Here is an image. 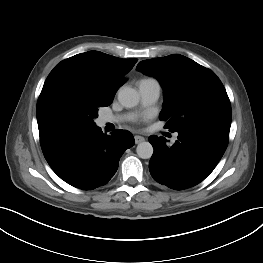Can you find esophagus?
<instances>
[{
    "label": "esophagus",
    "mask_w": 263,
    "mask_h": 263,
    "mask_svg": "<svg viewBox=\"0 0 263 263\" xmlns=\"http://www.w3.org/2000/svg\"><path fill=\"white\" fill-rule=\"evenodd\" d=\"M134 139H135V143H136V144H139V143L145 141V138H144L143 136H140V135H136V136L134 137Z\"/></svg>",
    "instance_id": "obj_1"
}]
</instances>
